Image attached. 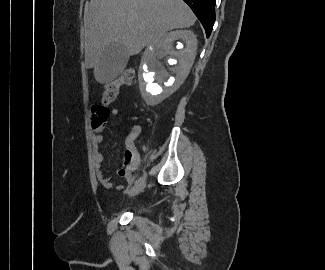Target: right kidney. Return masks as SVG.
<instances>
[{
  "mask_svg": "<svg viewBox=\"0 0 325 270\" xmlns=\"http://www.w3.org/2000/svg\"><path fill=\"white\" fill-rule=\"evenodd\" d=\"M178 40H182V43H176V50L174 43ZM196 52L197 38L190 30L172 31L144 51L139 71V88L147 105H157L183 84L194 63ZM164 64L170 65L169 70Z\"/></svg>",
  "mask_w": 325,
  "mask_h": 270,
  "instance_id": "1",
  "label": "right kidney"
}]
</instances>
